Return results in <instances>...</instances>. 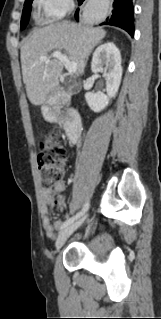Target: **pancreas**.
I'll return each instance as SVG.
<instances>
[{"instance_id":"pancreas-1","label":"pancreas","mask_w":161,"mask_h":319,"mask_svg":"<svg viewBox=\"0 0 161 319\" xmlns=\"http://www.w3.org/2000/svg\"><path fill=\"white\" fill-rule=\"evenodd\" d=\"M59 108H60V106L58 105L57 110H56L57 114H59Z\"/></svg>"}]
</instances>
